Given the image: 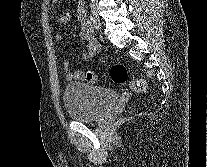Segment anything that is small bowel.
<instances>
[{
  "mask_svg": "<svg viewBox=\"0 0 207 167\" xmlns=\"http://www.w3.org/2000/svg\"><path fill=\"white\" fill-rule=\"evenodd\" d=\"M70 19H71L70 14L63 13V14L57 15L55 18V21L57 24L63 25V24H67L70 21ZM77 19H78V22L80 25V38L82 40L87 41V43H88L87 50L82 55V59L84 61H90L91 59H93L95 54L98 52L99 45L96 42V40L94 39L93 34L91 32H89L88 29L85 27V24H84V5L82 2H80L78 5ZM56 40L59 43H62L63 42L62 35L58 33L56 35ZM63 70L65 73V78L68 81L84 80L85 79V73L83 71H75V72L70 71L69 62L67 60H65L63 63Z\"/></svg>",
  "mask_w": 207,
  "mask_h": 167,
  "instance_id": "small-bowel-1",
  "label": "small bowel"
}]
</instances>
